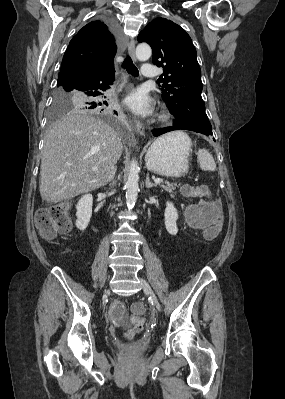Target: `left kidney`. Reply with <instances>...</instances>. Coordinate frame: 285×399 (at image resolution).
Here are the masks:
<instances>
[{"instance_id":"left-kidney-1","label":"left kidney","mask_w":285,"mask_h":399,"mask_svg":"<svg viewBox=\"0 0 285 399\" xmlns=\"http://www.w3.org/2000/svg\"><path fill=\"white\" fill-rule=\"evenodd\" d=\"M164 217H165L164 223H165L167 232L170 235H176L178 232V228H177V224H176V221L178 219V212L172 202L166 203Z\"/></svg>"}]
</instances>
